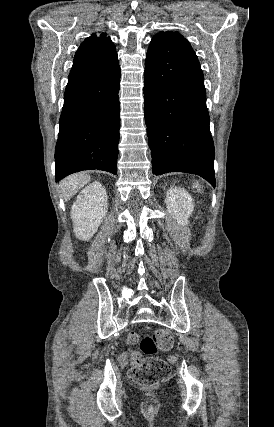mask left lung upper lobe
<instances>
[{"label":"left lung upper lobe","instance_id":"obj_1","mask_svg":"<svg viewBox=\"0 0 274 427\" xmlns=\"http://www.w3.org/2000/svg\"><path fill=\"white\" fill-rule=\"evenodd\" d=\"M159 37L177 39V40L183 42L189 48H191L189 42L185 38H183V36L181 34H179L178 32H175V33L174 32H170V31H168V32H160V33H158V34H156L154 36V38H159Z\"/></svg>","mask_w":274,"mask_h":427}]
</instances>
